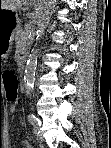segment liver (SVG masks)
Returning a JSON list of instances; mask_svg holds the SVG:
<instances>
[{
    "label": "liver",
    "mask_w": 111,
    "mask_h": 148,
    "mask_svg": "<svg viewBox=\"0 0 111 148\" xmlns=\"http://www.w3.org/2000/svg\"><path fill=\"white\" fill-rule=\"evenodd\" d=\"M27 0H2L1 1V8L2 9H9V10H16L20 8Z\"/></svg>",
    "instance_id": "1"
}]
</instances>
